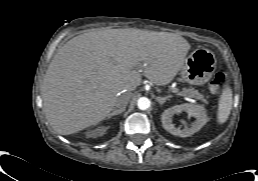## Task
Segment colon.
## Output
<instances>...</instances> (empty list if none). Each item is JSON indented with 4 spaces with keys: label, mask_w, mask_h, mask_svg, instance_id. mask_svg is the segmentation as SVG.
<instances>
[{
    "label": "colon",
    "mask_w": 258,
    "mask_h": 181,
    "mask_svg": "<svg viewBox=\"0 0 258 181\" xmlns=\"http://www.w3.org/2000/svg\"><path fill=\"white\" fill-rule=\"evenodd\" d=\"M226 82V76L222 72H218L215 74L214 78L210 83V87L214 92H218L223 84Z\"/></svg>",
    "instance_id": "colon-1"
}]
</instances>
